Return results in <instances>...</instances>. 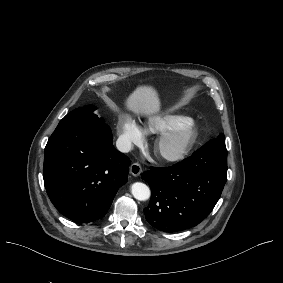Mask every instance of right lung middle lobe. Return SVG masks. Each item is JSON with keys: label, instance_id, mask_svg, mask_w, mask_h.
Instances as JSON below:
<instances>
[{"label": "right lung middle lobe", "instance_id": "obj_1", "mask_svg": "<svg viewBox=\"0 0 283 283\" xmlns=\"http://www.w3.org/2000/svg\"><path fill=\"white\" fill-rule=\"evenodd\" d=\"M96 107L93 105H87L84 107L77 108L68 113L58 124H78L85 125L95 128H101L107 126L102 118H99L94 111Z\"/></svg>", "mask_w": 283, "mask_h": 283}]
</instances>
